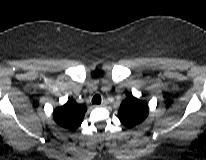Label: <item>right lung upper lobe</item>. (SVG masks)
<instances>
[{"label":"right lung upper lobe","instance_id":"1","mask_svg":"<svg viewBox=\"0 0 206 160\" xmlns=\"http://www.w3.org/2000/svg\"><path fill=\"white\" fill-rule=\"evenodd\" d=\"M86 110V106L68 99L66 104L54 110L53 118L61 127L74 131L81 125Z\"/></svg>","mask_w":206,"mask_h":160}]
</instances>
